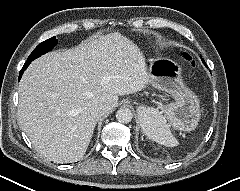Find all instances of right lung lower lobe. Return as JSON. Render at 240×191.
Returning <instances> with one entry per match:
<instances>
[{"label":"right lung lower lobe","instance_id":"1","mask_svg":"<svg viewBox=\"0 0 240 191\" xmlns=\"http://www.w3.org/2000/svg\"><path fill=\"white\" fill-rule=\"evenodd\" d=\"M30 63H31V62H26V63L24 64V66H23V68L21 69L20 74H19V80L21 79L23 72L26 70V68L28 67V65H29Z\"/></svg>","mask_w":240,"mask_h":191}]
</instances>
